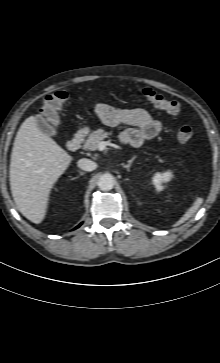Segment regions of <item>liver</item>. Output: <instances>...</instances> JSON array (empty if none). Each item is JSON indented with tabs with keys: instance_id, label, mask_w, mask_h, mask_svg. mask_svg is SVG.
Returning a JSON list of instances; mask_svg holds the SVG:
<instances>
[{
	"instance_id": "1",
	"label": "liver",
	"mask_w": 220,
	"mask_h": 363,
	"mask_svg": "<svg viewBox=\"0 0 220 363\" xmlns=\"http://www.w3.org/2000/svg\"><path fill=\"white\" fill-rule=\"evenodd\" d=\"M73 157L43 133L30 116L20 126L10 159V188L17 209L33 223L45 218L53 185Z\"/></svg>"
}]
</instances>
